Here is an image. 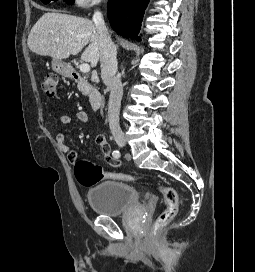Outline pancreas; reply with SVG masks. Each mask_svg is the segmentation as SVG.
Here are the masks:
<instances>
[{
  "label": "pancreas",
  "mask_w": 255,
  "mask_h": 272,
  "mask_svg": "<svg viewBox=\"0 0 255 272\" xmlns=\"http://www.w3.org/2000/svg\"><path fill=\"white\" fill-rule=\"evenodd\" d=\"M77 87L83 94L87 93V86L85 84L79 83Z\"/></svg>",
  "instance_id": "1"
}]
</instances>
